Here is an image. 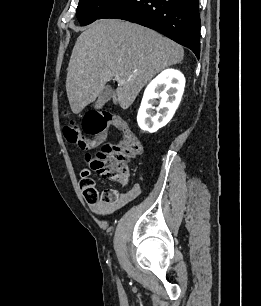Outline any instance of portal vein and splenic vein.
<instances>
[{
    "instance_id": "1",
    "label": "portal vein and splenic vein",
    "mask_w": 261,
    "mask_h": 306,
    "mask_svg": "<svg viewBox=\"0 0 261 306\" xmlns=\"http://www.w3.org/2000/svg\"><path fill=\"white\" fill-rule=\"evenodd\" d=\"M114 79H115V81H117V82H123V79H122L119 75H116V76L114 77Z\"/></svg>"
}]
</instances>
